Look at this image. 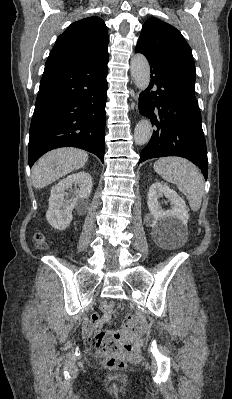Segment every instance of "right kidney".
Instances as JSON below:
<instances>
[{"label": "right kidney", "instance_id": "1", "mask_svg": "<svg viewBox=\"0 0 232 399\" xmlns=\"http://www.w3.org/2000/svg\"><path fill=\"white\" fill-rule=\"evenodd\" d=\"M92 186V178L86 172L71 174L53 186L46 211L50 225L55 229H66L72 221L74 207H87Z\"/></svg>", "mask_w": 232, "mask_h": 399}]
</instances>
